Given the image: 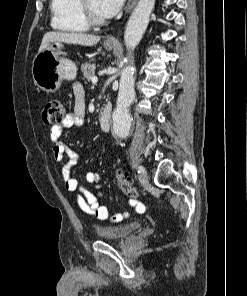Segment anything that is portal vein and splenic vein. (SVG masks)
<instances>
[{
	"label": "portal vein and splenic vein",
	"instance_id": "1",
	"mask_svg": "<svg viewBox=\"0 0 247 296\" xmlns=\"http://www.w3.org/2000/svg\"><path fill=\"white\" fill-rule=\"evenodd\" d=\"M97 81H98V78L96 76H94V77L91 78V82L92 83H97Z\"/></svg>",
	"mask_w": 247,
	"mask_h": 296
}]
</instances>
